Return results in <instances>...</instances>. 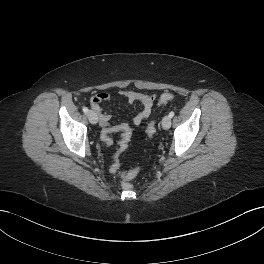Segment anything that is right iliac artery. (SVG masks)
<instances>
[{"instance_id":"obj_1","label":"right iliac artery","mask_w":264,"mask_h":264,"mask_svg":"<svg viewBox=\"0 0 264 264\" xmlns=\"http://www.w3.org/2000/svg\"><path fill=\"white\" fill-rule=\"evenodd\" d=\"M88 111H89V110H88L87 107H83V112H84V113H88Z\"/></svg>"}]
</instances>
